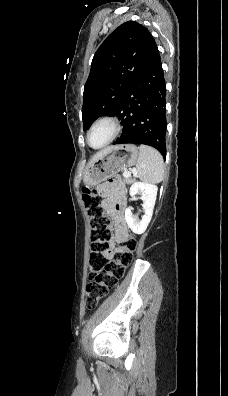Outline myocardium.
Masks as SVG:
<instances>
[{
    "mask_svg": "<svg viewBox=\"0 0 228 396\" xmlns=\"http://www.w3.org/2000/svg\"><path fill=\"white\" fill-rule=\"evenodd\" d=\"M101 123L109 124L112 128V133H111V136L109 137V139L103 145H101L100 147H94L90 144V135H91V132L93 131V129ZM121 131H122V124L118 117H116L114 115H103V116L97 118L91 124V126L87 132V135H86V142L91 148H93L95 150H100V149L107 147L112 142H114L117 139V137L119 136V134L121 133Z\"/></svg>",
    "mask_w": 228,
    "mask_h": 396,
    "instance_id": "obj_1",
    "label": "myocardium"
}]
</instances>
